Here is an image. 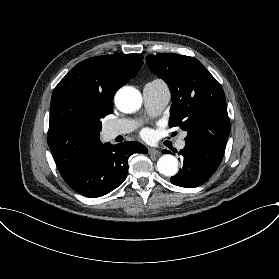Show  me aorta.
Instances as JSON below:
<instances>
[{"mask_svg":"<svg viewBox=\"0 0 279 279\" xmlns=\"http://www.w3.org/2000/svg\"><path fill=\"white\" fill-rule=\"evenodd\" d=\"M116 107L124 113H133L142 105L140 92L130 86L120 88L115 95ZM158 171L165 176H174L178 172V160L171 154H164L157 161Z\"/></svg>","mask_w":279,"mask_h":279,"instance_id":"1","label":"aorta"}]
</instances>
